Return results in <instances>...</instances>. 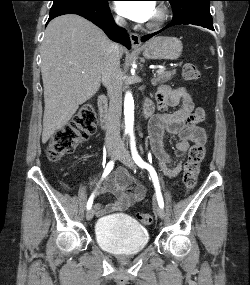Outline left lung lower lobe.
<instances>
[{"instance_id": "left-lung-lower-lobe-1", "label": "left lung lower lobe", "mask_w": 250, "mask_h": 285, "mask_svg": "<svg viewBox=\"0 0 250 285\" xmlns=\"http://www.w3.org/2000/svg\"><path fill=\"white\" fill-rule=\"evenodd\" d=\"M180 24H192V25H197V26H202L204 28H208L210 30L214 31V27H213V22L212 19H207V18H191L185 21H180V22H175L172 21L170 24H168L164 29L174 26V25H180ZM162 29V30H164ZM162 30L155 32L153 34H149V35H145L141 38L142 42H145L146 40H148L149 38L157 35L158 33H160Z\"/></svg>"}]
</instances>
